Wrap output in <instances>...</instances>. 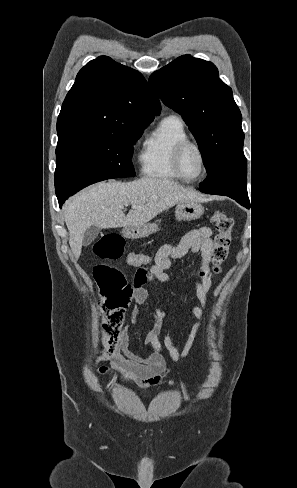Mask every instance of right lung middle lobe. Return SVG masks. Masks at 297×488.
Returning <instances> with one entry per match:
<instances>
[{
  "label": "right lung middle lobe",
  "instance_id": "dd1d6c3e",
  "mask_svg": "<svg viewBox=\"0 0 297 488\" xmlns=\"http://www.w3.org/2000/svg\"><path fill=\"white\" fill-rule=\"evenodd\" d=\"M148 124L119 131L88 132L58 138L55 191L58 199L109 178L135 175L133 144Z\"/></svg>",
  "mask_w": 297,
  "mask_h": 488
}]
</instances>
